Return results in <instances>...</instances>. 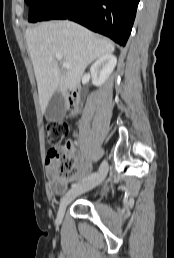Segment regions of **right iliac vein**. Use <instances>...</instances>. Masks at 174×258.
Masks as SVG:
<instances>
[{
  "mask_svg": "<svg viewBox=\"0 0 174 258\" xmlns=\"http://www.w3.org/2000/svg\"><path fill=\"white\" fill-rule=\"evenodd\" d=\"M108 172V164L106 161H103L100 165L99 171L97 173V176L83 184L76 185L73 188H71L60 200L59 209L57 218L58 220H62L63 215L65 213V210L67 206L79 195L93 189L97 185H99L106 177Z\"/></svg>",
  "mask_w": 174,
  "mask_h": 258,
  "instance_id": "right-iliac-vein-1",
  "label": "right iliac vein"
}]
</instances>
